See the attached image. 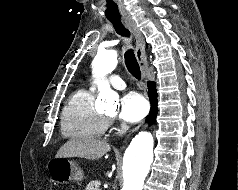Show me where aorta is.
<instances>
[{
	"label": "aorta",
	"instance_id": "obj_1",
	"mask_svg": "<svg viewBox=\"0 0 238 190\" xmlns=\"http://www.w3.org/2000/svg\"><path fill=\"white\" fill-rule=\"evenodd\" d=\"M118 56L115 50L99 51L93 60V74L102 80L97 83L98 104L107 107L118 101L114 92L103 78L117 66ZM154 140L151 133L140 132L125 151L123 158V186L121 190H142L145 177L153 161Z\"/></svg>",
	"mask_w": 238,
	"mask_h": 190
}]
</instances>
